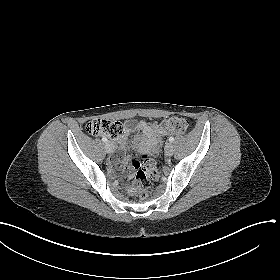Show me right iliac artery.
Returning <instances> with one entry per match:
<instances>
[{
    "label": "right iliac artery",
    "instance_id": "1",
    "mask_svg": "<svg viewBox=\"0 0 280 280\" xmlns=\"http://www.w3.org/2000/svg\"><path fill=\"white\" fill-rule=\"evenodd\" d=\"M102 141H103V142H107L108 140H107L106 137H103V138H102Z\"/></svg>",
    "mask_w": 280,
    "mask_h": 280
}]
</instances>
